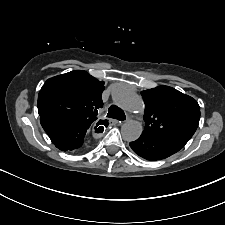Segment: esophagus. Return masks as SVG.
Returning a JSON list of instances; mask_svg holds the SVG:
<instances>
[{"label": "esophagus", "instance_id": "34e87169", "mask_svg": "<svg viewBox=\"0 0 225 225\" xmlns=\"http://www.w3.org/2000/svg\"><path fill=\"white\" fill-rule=\"evenodd\" d=\"M111 123H112V124H119V123H121V122L118 121V120H111Z\"/></svg>", "mask_w": 225, "mask_h": 225}]
</instances>
